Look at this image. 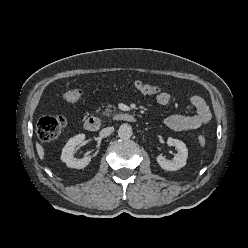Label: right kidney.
I'll return each instance as SVG.
<instances>
[{
	"label": "right kidney",
	"instance_id": "ca27d5eb",
	"mask_svg": "<svg viewBox=\"0 0 248 248\" xmlns=\"http://www.w3.org/2000/svg\"><path fill=\"white\" fill-rule=\"evenodd\" d=\"M85 134H78L68 140L64 148L62 149L61 160L70 168L82 169L85 168L91 161L89 156H85L82 159H76L73 157V151L76 146L83 143Z\"/></svg>",
	"mask_w": 248,
	"mask_h": 248
}]
</instances>
